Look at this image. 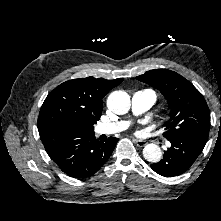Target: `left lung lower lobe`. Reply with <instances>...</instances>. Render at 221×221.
I'll return each mask as SVG.
<instances>
[{
	"mask_svg": "<svg viewBox=\"0 0 221 221\" xmlns=\"http://www.w3.org/2000/svg\"><path fill=\"white\" fill-rule=\"evenodd\" d=\"M209 133L194 132L169 139L171 147L164 152L163 159L151 168L165 177L179 176L193 165L202 152Z\"/></svg>",
	"mask_w": 221,
	"mask_h": 221,
	"instance_id": "obj_1",
	"label": "left lung lower lobe"
}]
</instances>
